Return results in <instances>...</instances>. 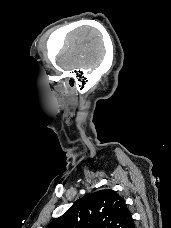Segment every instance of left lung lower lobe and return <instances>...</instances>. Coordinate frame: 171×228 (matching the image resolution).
<instances>
[{
    "mask_svg": "<svg viewBox=\"0 0 171 228\" xmlns=\"http://www.w3.org/2000/svg\"><path fill=\"white\" fill-rule=\"evenodd\" d=\"M124 228H135L134 220L132 217L126 222Z\"/></svg>",
    "mask_w": 171,
    "mask_h": 228,
    "instance_id": "1",
    "label": "left lung lower lobe"
}]
</instances>
